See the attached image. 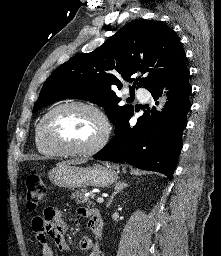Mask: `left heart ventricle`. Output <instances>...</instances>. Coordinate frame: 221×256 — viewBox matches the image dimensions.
Returning a JSON list of instances; mask_svg holds the SVG:
<instances>
[{
	"instance_id": "obj_1",
	"label": "left heart ventricle",
	"mask_w": 221,
	"mask_h": 256,
	"mask_svg": "<svg viewBox=\"0 0 221 256\" xmlns=\"http://www.w3.org/2000/svg\"><path fill=\"white\" fill-rule=\"evenodd\" d=\"M102 133L99 118L89 110L69 107L57 111L47 123L48 137L59 144L83 148L93 144Z\"/></svg>"
}]
</instances>
